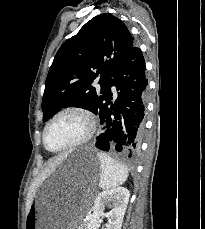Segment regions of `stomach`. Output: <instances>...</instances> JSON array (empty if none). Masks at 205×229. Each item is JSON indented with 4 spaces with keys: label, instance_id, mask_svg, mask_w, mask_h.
Here are the masks:
<instances>
[{
    "label": "stomach",
    "instance_id": "0dacf381",
    "mask_svg": "<svg viewBox=\"0 0 205 229\" xmlns=\"http://www.w3.org/2000/svg\"><path fill=\"white\" fill-rule=\"evenodd\" d=\"M62 166V181L71 191L37 196L27 212L25 229H81L101 166L95 152L88 148L70 152Z\"/></svg>",
    "mask_w": 205,
    "mask_h": 229
}]
</instances>
